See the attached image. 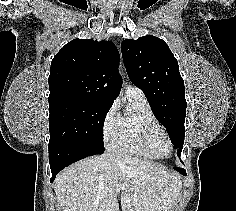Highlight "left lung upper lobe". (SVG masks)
<instances>
[{"label": "left lung upper lobe", "mask_w": 236, "mask_h": 211, "mask_svg": "<svg viewBox=\"0 0 236 211\" xmlns=\"http://www.w3.org/2000/svg\"><path fill=\"white\" fill-rule=\"evenodd\" d=\"M121 51L130 80L145 93L180 157L187 104L176 58L164 40L152 35L124 40Z\"/></svg>", "instance_id": "1"}]
</instances>
